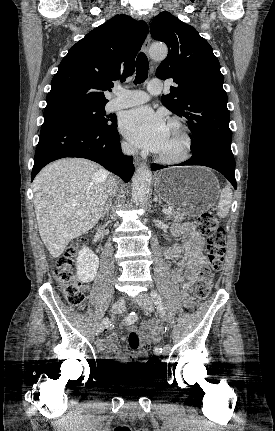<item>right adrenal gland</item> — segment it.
Returning a JSON list of instances; mask_svg holds the SVG:
<instances>
[{"label": "right adrenal gland", "mask_w": 275, "mask_h": 431, "mask_svg": "<svg viewBox=\"0 0 275 431\" xmlns=\"http://www.w3.org/2000/svg\"><path fill=\"white\" fill-rule=\"evenodd\" d=\"M110 206H111V200H109V201L106 203V205H105V207H104V209H103V211H102L101 218H104V216H105L106 214H108L109 209H110Z\"/></svg>", "instance_id": "2a0ac1e0"}]
</instances>
